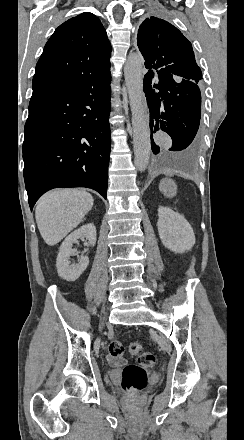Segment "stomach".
<instances>
[{
  "mask_svg": "<svg viewBox=\"0 0 244 440\" xmlns=\"http://www.w3.org/2000/svg\"><path fill=\"white\" fill-rule=\"evenodd\" d=\"M159 190L164 196H167V198H173V196H176L177 194V186L174 180H170V178H164V180H161Z\"/></svg>",
  "mask_w": 244,
  "mask_h": 440,
  "instance_id": "1",
  "label": "stomach"
}]
</instances>
